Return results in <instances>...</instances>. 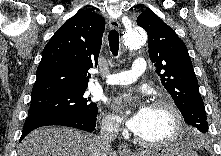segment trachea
<instances>
[{"instance_id": "3493384b", "label": "trachea", "mask_w": 221, "mask_h": 156, "mask_svg": "<svg viewBox=\"0 0 221 156\" xmlns=\"http://www.w3.org/2000/svg\"><path fill=\"white\" fill-rule=\"evenodd\" d=\"M108 40L110 51L114 56H117L119 51V33L115 29H112L109 32Z\"/></svg>"}]
</instances>
